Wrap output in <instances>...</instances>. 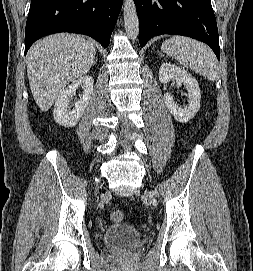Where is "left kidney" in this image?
Here are the masks:
<instances>
[{
	"label": "left kidney",
	"mask_w": 253,
	"mask_h": 271,
	"mask_svg": "<svg viewBox=\"0 0 253 271\" xmlns=\"http://www.w3.org/2000/svg\"><path fill=\"white\" fill-rule=\"evenodd\" d=\"M159 80L161 83H168L175 80L179 84L186 86L188 90L189 104L187 106L179 107L173 99L171 93L164 94V102L173 115V117L181 122L187 123L194 118L200 108L201 93L197 80L186 70L172 65L170 63H163L159 69Z\"/></svg>",
	"instance_id": "5707ae66"
}]
</instances>
